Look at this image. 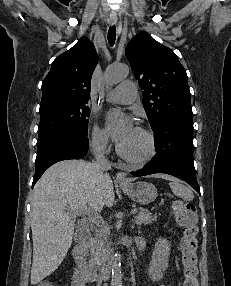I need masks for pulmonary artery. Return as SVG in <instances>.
<instances>
[{
	"label": "pulmonary artery",
	"instance_id": "e3ab8cb5",
	"mask_svg": "<svg viewBox=\"0 0 231 286\" xmlns=\"http://www.w3.org/2000/svg\"><path fill=\"white\" fill-rule=\"evenodd\" d=\"M137 97L136 86L132 81H123L117 87L109 91L106 100L114 103L129 104Z\"/></svg>",
	"mask_w": 231,
	"mask_h": 286
}]
</instances>
